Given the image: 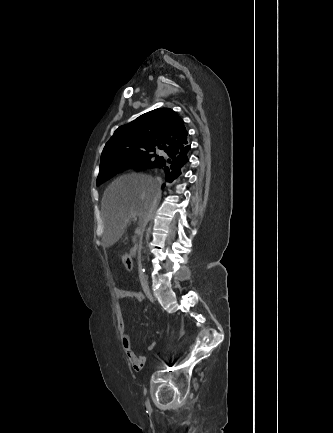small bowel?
Listing matches in <instances>:
<instances>
[{
	"label": "small bowel",
	"instance_id": "obj_1",
	"mask_svg": "<svg viewBox=\"0 0 333 433\" xmlns=\"http://www.w3.org/2000/svg\"><path fill=\"white\" fill-rule=\"evenodd\" d=\"M115 293L119 301H122L124 299H134L136 301H142L144 299L143 293L136 290L119 288L116 290ZM118 327L121 335V344L126 352L129 363L131 364L133 369L141 370L144 366L146 359L144 356L137 355L136 352L133 350L131 338L128 332L126 331L125 320L121 312L120 315L118 316ZM155 345L156 343L153 342L148 346L147 349L150 351L155 347Z\"/></svg>",
	"mask_w": 333,
	"mask_h": 433
}]
</instances>
